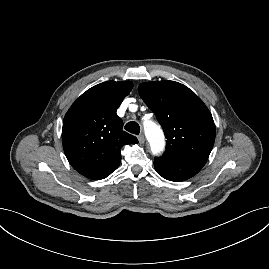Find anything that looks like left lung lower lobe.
Masks as SVG:
<instances>
[{
  "instance_id": "1",
  "label": "left lung lower lobe",
  "mask_w": 269,
  "mask_h": 269,
  "mask_svg": "<svg viewBox=\"0 0 269 269\" xmlns=\"http://www.w3.org/2000/svg\"><path fill=\"white\" fill-rule=\"evenodd\" d=\"M206 161L195 158L161 156L154 160L157 173L170 181H184L197 174Z\"/></svg>"
}]
</instances>
